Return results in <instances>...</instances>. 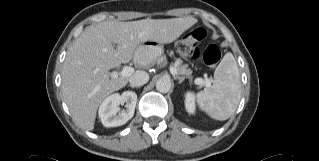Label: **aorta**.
<instances>
[{
	"label": "aorta",
	"instance_id": "obj_1",
	"mask_svg": "<svg viewBox=\"0 0 319 161\" xmlns=\"http://www.w3.org/2000/svg\"><path fill=\"white\" fill-rule=\"evenodd\" d=\"M156 89L161 93H167L171 89V81L167 78H161L156 83Z\"/></svg>",
	"mask_w": 319,
	"mask_h": 161
}]
</instances>
